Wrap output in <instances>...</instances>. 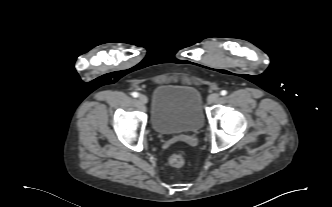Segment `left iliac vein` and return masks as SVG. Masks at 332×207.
I'll return each mask as SVG.
<instances>
[{"mask_svg": "<svg viewBox=\"0 0 332 207\" xmlns=\"http://www.w3.org/2000/svg\"><path fill=\"white\" fill-rule=\"evenodd\" d=\"M219 100H220L219 93H212L208 96V99H207L209 104L217 103Z\"/></svg>", "mask_w": 332, "mask_h": 207, "instance_id": "1", "label": "left iliac vein"}]
</instances>
